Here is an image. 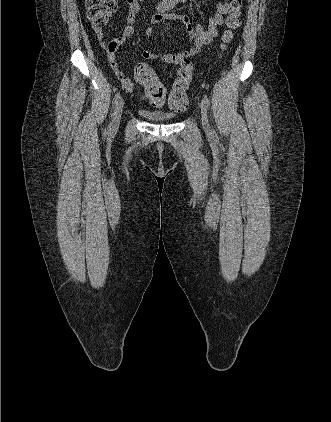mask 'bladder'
<instances>
[{"instance_id":"bladder-1","label":"bladder","mask_w":331,"mask_h":422,"mask_svg":"<svg viewBox=\"0 0 331 422\" xmlns=\"http://www.w3.org/2000/svg\"><path fill=\"white\" fill-rule=\"evenodd\" d=\"M140 114L145 118L154 121V122H167L173 121L176 119V116L171 113H166L162 111H150L147 109H141Z\"/></svg>"}]
</instances>
